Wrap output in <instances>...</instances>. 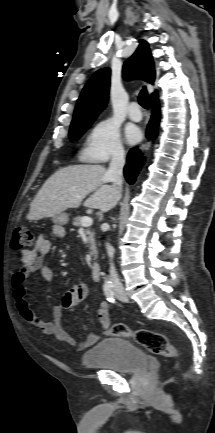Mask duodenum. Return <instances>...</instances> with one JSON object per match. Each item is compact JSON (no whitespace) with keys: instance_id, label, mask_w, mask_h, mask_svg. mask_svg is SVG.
Masks as SVG:
<instances>
[{"instance_id":"obj_1","label":"duodenum","mask_w":215,"mask_h":433,"mask_svg":"<svg viewBox=\"0 0 215 433\" xmlns=\"http://www.w3.org/2000/svg\"><path fill=\"white\" fill-rule=\"evenodd\" d=\"M91 274L94 280L99 281L101 279V268L98 263H93L91 266Z\"/></svg>"}]
</instances>
